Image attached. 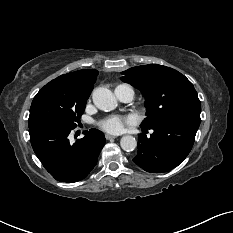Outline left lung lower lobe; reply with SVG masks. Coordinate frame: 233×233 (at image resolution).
Segmentation results:
<instances>
[{
  "mask_svg": "<svg viewBox=\"0 0 233 233\" xmlns=\"http://www.w3.org/2000/svg\"><path fill=\"white\" fill-rule=\"evenodd\" d=\"M199 124L191 120H165L143 127V132L147 129L154 132L150 138L139 135L138 153L133 161L151 173L171 170L191 151Z\"/></svg>",
  "mask_w": 233,
  "mask_h": 233,
  "instance_id": "obj_1",
  "label": "left lung lower lobe"
}]
</instances>
